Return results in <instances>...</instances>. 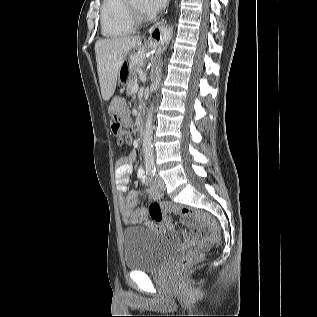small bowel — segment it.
I'll list each match as a JSON object with an SVG mask.
<instances>
[{
    "label": "small bowel",
    "instance_id": "c3829d8e",
    "mask_svg": "<svg viewBox=\"0 0 317 317\" xmlns=\"http://www.w3.org/2000/svg\"><path fill=\"white\" fill-rule=\"evenodd\" d=\"M132 159V155L120 157L117 161V168L115 171L117 190L121 195V217L125 223L145 222L146 224L151 225L148 221L147 209L145 207L135 209L136 204L139 202L138 197L132 193L125 195L132 173ZM138 175L140 179L143 181L145 180L142 171H139ZM149 194L153 198H159L161 196V192L154 185H150ZM155 229L162 234H166L171 230V225L167 223L164 226H156Z\"/></svg>",
    "mask_w": 317,
    "mask_h": 317
}]
</instances>
